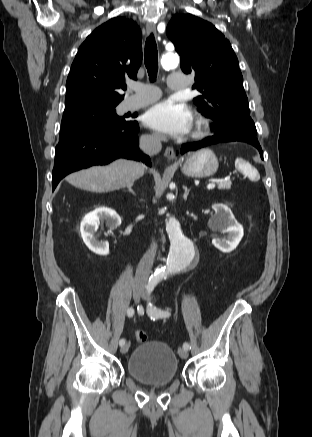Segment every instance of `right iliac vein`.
<instances>
[{"label":"right iliac vein","instance_id":"obj_1","mask_svg":"<svg viewBox=\"0 0 312 437\" xmlns=\"http://www.w3.org/2000/svg\"><path fill=\"white\" fill-rule=\"evenodd\" d=\"M143 288H144L143 282L140 279H138L134 283V287H133V298L136 303L140 301V298L143 294ZM129 346L130 344L128 342L123 344L120 349L121 353L123 354L126 353L129 350Z\"/></svg>","mask_w":312,"mask_h":437}]
</instances>
